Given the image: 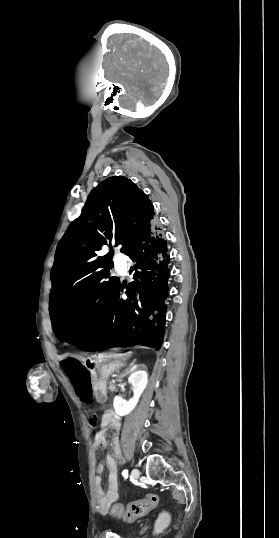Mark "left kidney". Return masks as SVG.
<instances>
[{
    "mask_svg": "<svg viewBox=\"0 0 279 538\" xmlns=\"http://www.w3.org/2000/svg\"><path fill=\"white\" fill-rule=\"evenodd\" d=\"M128 382L132 386L131 390H133L134 396L129 402H125L120 396H115L113 406L118 416H126V414H130L134 410L141 394H143L147 386L148 374L145 370H135V372H131Z\"/></svg>",
    "mask_w": 279,
    "mask_h": 538,
    "instance_id": "5707ae66",
    "label": "left kidney"
}]
</instances>
